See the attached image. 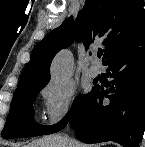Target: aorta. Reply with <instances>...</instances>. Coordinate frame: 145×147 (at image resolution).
<instances>
[{
    "label": "aorta",
    "mask_w": 145,
    "mask_h": 147,
    "mask_svg": "<svg viewBox=\"0 0 145 147\" xmlns=\"http://www.w3.org/2000/svg\"><path fill=\"white\" fill-rule=\"evenodd\" d=\"M72 55L69 51H61L51 65V78L54 84H62L72 71Z\"/></svg>",
    "instance_id": "762f6f07"
}]
</instances>
